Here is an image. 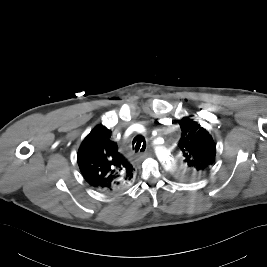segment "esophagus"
Segmentation results:
<instances>
[{"mask_svg":"<svg viewBox=\"0 0 267 267\" xmlns=\"http://www.w3.org/2000/svg\"><path fill=\"white\" fill-rule=\"evenodd\" d=\"M147 156H148L147 153H142V154L139 155V158H140V159H144V158H146Z\"/></svg>","mask_w":267,"mask_h":267,"instance_id":"esophagus-1","label":"esophagus"}]
</instances>
